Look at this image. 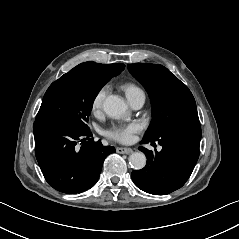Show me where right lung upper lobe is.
<instances>
[{"mask_svg":"<svg viewBox=\"0 0 239 239\" xmlns=\"http://www.w3.org/2000/svg\"><path fill=\"white\" fill-rule=\"evenodd\" d=\"M124 65L121 63L114 64H100L96 62H84L77 65L73 70L81 72L83 74H96L101 75L107 79H111L117 76L124 69Z\"/></svg>","mask_w":239,"mask_h":239,"instance_id":"1","label":"right lung upper lobe"}]
</instances>
